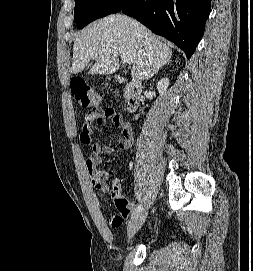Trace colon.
Here are the masks:
<instances>
[{"label": "colon", "mask_w": 253, "mask_h": 271, "mask_svg": "<svg viewBox=\"0 0 253 271\" xmlns=\"http://www.w3.org/2000/svg\"><path fill=\"white\" fill-rule=\"evenodd\" d=\"M72 92L76 102L82 107H92L94 109H98L102 98L101 95L90 88L84 81L81 79H73L71 82ZM99 111V110H96ZM104 116L108 119H114L115 121H119V116L111 109H107L104 112ZM112 196L114 198L115 205L117 209L120 211H124L126 208L125 200L120 196L119 190L117 187H114L112 190ZM108 223L114 227L118 226L122 222V218L118 214H112L108 217Z\"/></svg>", "instance_id": "5ec220e1"}]
</instances>
